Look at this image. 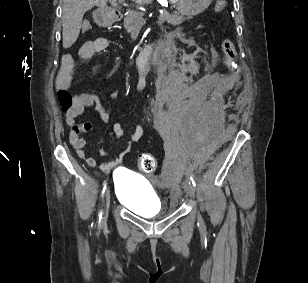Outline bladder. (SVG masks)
I'll use <instances>...</instances> for the list:
<instances>
[{
    "mask_svg": "<svg viewBox=\"0 0 308 283\" xmlns=\"http://www.w3.org/2000/svg\"><path fill=\"white\" fill-rule=\"evenodd\" d=\"M113 188L118 202L137 215L157 217L166 212L158 193L144 176L118 168L113 174Z\"/></svg>",
    "mask_w": 308,
    "mask_h": 283,
    "instance_id": "bladder-1",
    "label": "bladder"
}]
</instances>
